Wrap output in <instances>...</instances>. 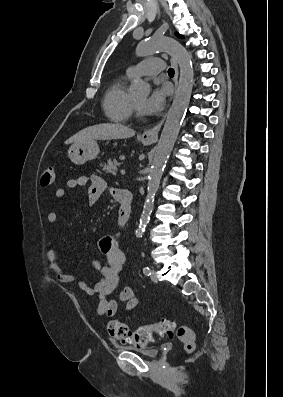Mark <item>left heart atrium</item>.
Masks as SVG:
<instances>
[{"label":"left heart atrium","mask_w":283,"mask_h":397,"mask_svg":"<svg viewBox=\"0 0 283 397\" xmlns=\"http://www.w3.org/2000/svg\"><path fill=\"white\" fill-rule=\"evenodd\" d=\"M169 93L167 87H157L153 89L147 99L140 105L139 109L144 115H154L162 110L164 107L166 97Z\"/></svg>","instance_id":"1"}]
</instances>
